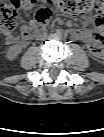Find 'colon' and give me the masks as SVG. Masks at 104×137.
<instances>
[{
	"label": "colon",
	"mask_w": 104,
	"mask_h": 137,
	"mask_svg": "<svg viewBox=\"0 0 104 137\" xmlns=\"http://www.w3.org/2000/svg\"><path fill=\"white\" fill-rule=\"evenodd\" d=\"M37 5L39 8L35 12V19L40 24L48 23L54 11L74 15L91 11L101 13L104 10V0H10L0 8V23L3 31L10 32L16 29L22 21V15L32 11ZM101 26L102 19L95 18L92 35L95 40L93 51L96 53L103 51Z\"/></svg>",
	"instance_id": "1"
}]
</instances>
